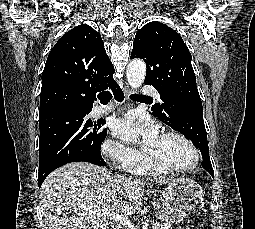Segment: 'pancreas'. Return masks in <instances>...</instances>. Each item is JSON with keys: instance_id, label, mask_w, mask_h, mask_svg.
<instances>
[{"instance_id": "pancreas-1", "label": "pancreas", "mask_w": 255, "mask_h": 229, "mask_svg": "<svg viewBox=\"0 0 255 229\" xmlns=\"http://www.w3.org/2000/svg\"><path fill=\"white\" fill-rule=\"evenodd\" d=\"M122 229H128L127 227L122 228ZM154 229H169V225L168 224H160L159 226H157Z\"/></svg>"}]
</instances>
